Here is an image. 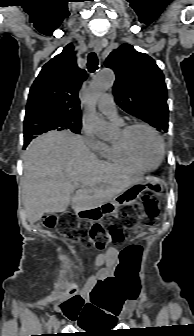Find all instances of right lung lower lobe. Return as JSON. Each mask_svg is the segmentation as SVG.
I'll use <instances>...</instances> for the list:
<instances>
[{"label": "right lung lower lobe", "instance_id": "right-lung-lower-lobe-1", "mask_svg": "<svg viewBox=\"0 0 194 336\" xmlns=\"http://www.w3.org/2000/svg\"><path fill=\"white\" fill-rule=\"evenodd\" d=\"M27 145H28V143H24V148H26Z\"/></svg>", "mask_w": 194, "mask_h": 336}]
</instances>
